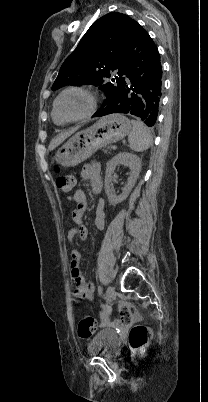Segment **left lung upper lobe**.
I'll list each match as a JSON object with an SVG mask.
<instances>
[{"instance_id": "5c2ea615", "label": "left lung upper lobe", "mask_w": 208, "mask_h": 402, "mask_svg": "<svg viewBox=\"0 0 208 402\" xmlns=\"http://www.w3.org/2000/svg\"><path fill=\"white\" fill-rule=\"evenodd\" d=\"M135 22L127 15L116 12L96 20L62 64L52 90L68 84H93L104 91L105 107L124 76L125 52ZM115 70L118 76L111 79Z\"/></svg>"}]
</instances>
